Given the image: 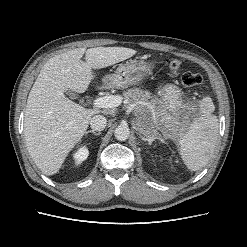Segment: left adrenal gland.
Instances as JSON below:
<instances>
[{
  "instance_id": "left-adrenal-gland-1",
  "label": "left adrenal gland",
  "mask_w": 247,
  "mask_h": 247,
  "mask_svg": "<svg viewBox=\"0 0 247 247\" xmlns=\"http://www.w3.org/2000/svg\"><path fill=\"white\" fill-rule=\"evenodd\" d=\"M142 139L144 141H148V144L151 145L153 141H155L156 139H159L162 143H164V140L162 139L161 135H159L158 133H155L154 135H152L149 138H144L142 137Z\"/></svg>"
}]
</instances>
